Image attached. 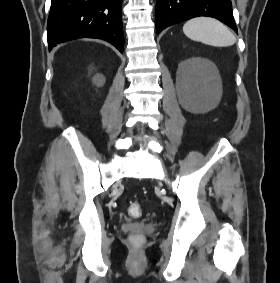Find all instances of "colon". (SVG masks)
Wrapping results in <instances>:
<instances>
[{
  "label": "colon",
  "mask_w": 280,
  "mask_h": 283,
  "mask_svg": "<svg viewBox=\"0 0 280 283\" xmlns=\"http://www.w3.org/2000/svg\"><path fill=\"white\" fill-rule=\"evenodd\" d=\"M128 214L133 218L139 217L141 214L140 205L138 203H133L132 205H130V207L128 208Z\"/></svg>",
  "instance_id": "colon-1"
}]
</instances>
